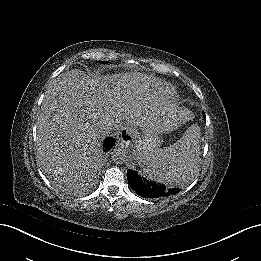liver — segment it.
Segmentation results:
<instances>
[{
    "label": "liver",
    "mask_w": 261,
    "mask_h": 261,
    "mask_svg": "<svg viewBox=\"0 0 261 261\" xmlns=\"http://www.w3.org/2000/svg\"><path fill=\"white\" fill-rule=\"evenodd\" d=\"M167 102L153 109L136 91L114 76L90 77L74 69L58 80L44 97L37 126V157L42 171L55 184L84 177L96 167L105 127L124 120L146 129L160 119ZM119 120V122H118ZM172 125L156 127L170 130Z\"/></svg>",
    "instance_id": "obj_1"
}]
</instances>
